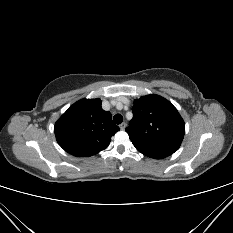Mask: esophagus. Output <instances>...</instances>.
<instances>
[{"label":"esophagus","instance_id":"34e87169","mask_svg":"<svg viewBox=\"0 0 233 233\" xmlns=\"http://www.w3.org/2000/svg\"><path fill=\"white\" fill-rule=\"evenodd\" d=\"M126 126H127V124L125 122H123V123H121L119 125V127H120L121 130H124L126 128Z\"/></svg>","mask_w":233,"mask_h":233}]
</instances>
